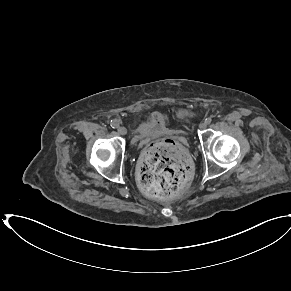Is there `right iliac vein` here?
I'll use <instances>...</instances> for the list:
<instances>
[{"label":"right iliac vein","mask_w":291,"mask_h":291,"mask_svg":"<svg viewBox=\"0 0 291 291\" xmlns=\"http://www.w3.org/2000/svg\"><path fill=\"white\" fill-rule=\"evenodd\" d=\"M117 132H118L119 135L124 136V135L127 134V129H126L124 126H121V127H119V128L117 129Z\"/></svg>","instance_id":"63e3f726"}]
</instances>
